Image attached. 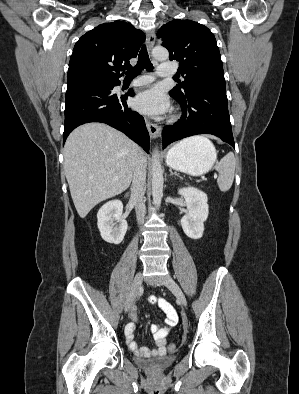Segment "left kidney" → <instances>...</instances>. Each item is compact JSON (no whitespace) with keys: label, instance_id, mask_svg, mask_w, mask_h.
I'll list each match as a JSON object with an SVG mask.
<instances>
[{"label":"left kidney","instance_id":"5707ae66","mask_svg":"<svg viewBox=\"0 0 299 394\" xmlns=\"http://www.w3.org/2000/svg\"><path fill=\"white\" fill-rule=\"evenodd\" d=\"M178 194L184 197L188 209L181 219L183 231L189 238L200 239L209 214L207 195L194 187L181 188Z\"/></svg>","mask_w":299,"mask_h":394}]
</instances>
